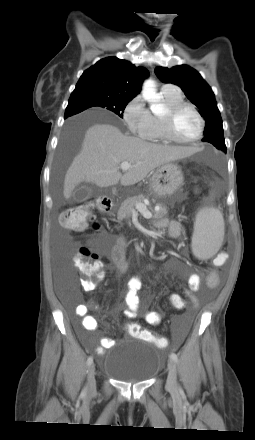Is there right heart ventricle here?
Masks as SVG:
<instances>
[{
  "label": "right heart ventricle",
  "mask_w": 255,
  "mask_h": 440,
  "mask_svg": "<svg viewBox=\"0 0 255 440\" xmlns=\"http://www.w3.org/2000/svg\"><path fill=\"white\" fill-rule=\"evenodd\" d=\"M161 95L163 98V102L167 107L183 102L182 94L176 89H174L173 91H161ZM144 138L151 141L165 140L159 117L153 116L152 131Z\"/></svg>",
  "instance_id": "e07e8e85"
}]
</instances>
